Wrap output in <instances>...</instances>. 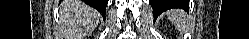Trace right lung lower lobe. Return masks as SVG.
Segmentation results:
<instances>
[{
	"instance_id": "right-lung-lower-lobe-1",
	"label": "right lung lower lobe",
	"mask_w": 249,
	"mask_h": 39,
	"mask_svg": "<svg viewBox=\"0 0 249 39\" xmlns=\"http://www.w3.org/2000/svg\"><path fill=\"white\" fill-rule=\"evenodd\" d=\"M86 3L91 7L97 9L103 16H105L107 0H86Z\"/></svg>"
}]
</instances>
